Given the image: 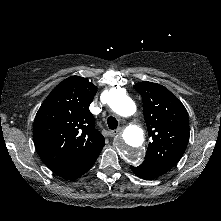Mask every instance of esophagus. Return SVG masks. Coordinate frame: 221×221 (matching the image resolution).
<instances>
[{
	"label": "esophagus",
	"mask_w": 221,
	"mask_h": 221,
	"mask_svg": "<svg viewBox=\"0 0 221 221\" xmlns=\"http://www.w3.org/2000/svg\"><path fill=\"white\" fill-rule=\"evenodd\" d=\"M121 132H122V129H121V128L116 129V130H111V131L109 132V136H110V137H114V136L120 134Z\"/></svg>",
	"instance_id": "1"
}]
</instances>
